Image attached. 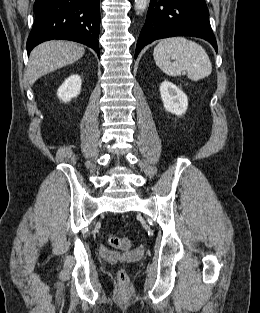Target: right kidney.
Listing matches in <instances>:
<instances>
[{
  "label": "right kidney",
  "mask_w": 260,
  "mask_h": 313,
  "mask_svg": "<svg viewBox=\"0 0 260 313\" xmlns=\"http://www.w3.org/2000/svg\"><path fill=\"white\" fill-rule=\"evenodd\" d=\"M82 79L79 75H71L62 83L57 91L59 99L63 102H69L77 97L81 91Z\"/></svg>",
  "instance_id": "right-kidney-1"
}]
</instances>
